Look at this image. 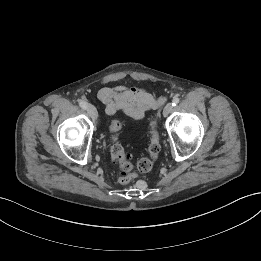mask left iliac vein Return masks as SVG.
<instances>
[{
	"instance_id": "obj_1",
	"label": "left iliac vein",
	"mask_w": 261,
	"mask_h": 261,
	"mask_svg": "<svg viewBox=\"0 0 261 261\" xmlns=\"http://www.w3.org/2000/svg\"><path fill=\"white\" fill-rule=\"evenodd\" d=\"M173 109L172 103H167L163 109V116L167 117Z\"/></svg>"
}]
</instances>
